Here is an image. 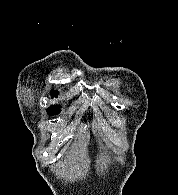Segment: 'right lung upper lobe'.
<instances>
[{
  "label": "right lung upper lobe",
  "instance_id": "obj_1",
  "mask_svg": "<svg viewBox=\"0 0 178 195\" xmlns=\"http://www.w3.org/2000/svg\"><path fill=\"white\" fill-rule=\"evenodd\" d=\"M57 94H58L57 91H52V95H53V96H56ZM49 108H57V107H49Z\"/></svg>",
  "mask_w": 178,
  "mask_h": 195
}]
</instances>
